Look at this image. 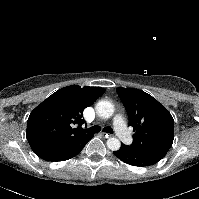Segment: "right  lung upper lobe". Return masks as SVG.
I'll return each instance as SVG.
<instances>
[{"mask_svg":"<svg viewBox=\"0 0 199 199\" xmlns=\"http://www.w3.org/2000/svg\"><path fill=\"white\" fill-rule=\"evenodd\" d=\"M105 90L77 85L64 87L39 104L27 121L26 137L34 152L66 146L88 135L75 128L85 123L83 110Z\"/></svg>","mask_w":199,"mask_h":199,"instance_id":"1","label":"right lung upper lobe"}]
</instances>
